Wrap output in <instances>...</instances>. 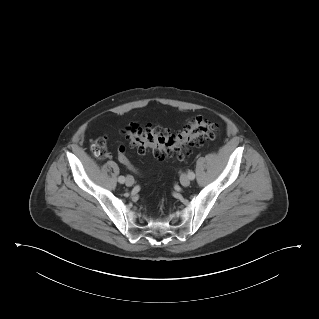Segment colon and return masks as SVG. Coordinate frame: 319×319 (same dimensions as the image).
Returning <instances> with one entry per match:
<instances>
[{"label":"colon","instance_id":"colon-1","mask_svg":"<svg viewBox=\"0 0 319 319\" xmlns=\"http://www.w3.org/2000/svg\"><path fill=\"white\" fill-rule=\"evenodd\" d=\"M131 146L139 152L151 149L157 160L183 159L188 146H199L205 141L215 139L218 133L216 123L201 116H196L186 122L181 130L172 132L168 129L151 125L132 123L125 129ZM94 156L107 157V146L103 139L96 140L91 145ZM119 161L133 171H137L125 154V148L119 150Z\"/></svg>","mask_w":319,"mask_h":319}]
</instances>
